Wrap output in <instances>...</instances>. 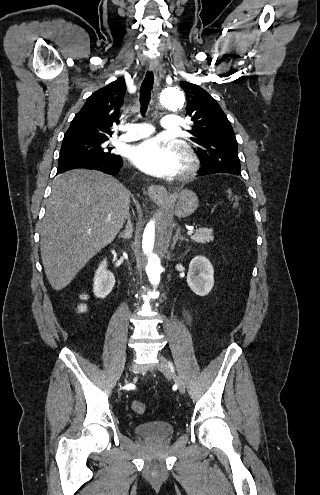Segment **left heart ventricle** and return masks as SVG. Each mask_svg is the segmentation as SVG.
<instances>
[{
    "instance_id": "obj_1",
    "label": "left heart ventricle",
    "mask_w": 320,
    "mask_h": 495,
    "mask_svg": "<svg viewBox=\"0 0 320 495\" xmlns=\"http://www.w3.org/2000/svg\"><path fill=\"white\" fill-rule=\"evenodd\" d=\"M180 166H181V160L179 161V168H180Z\"/></svg>"
}]
</instances>
